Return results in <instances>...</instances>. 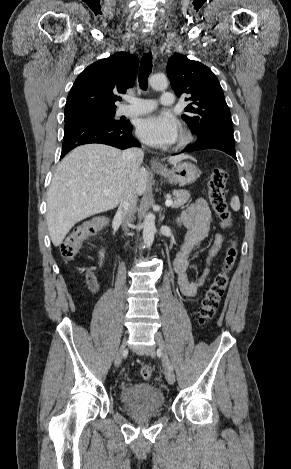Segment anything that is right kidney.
<instances>
[{
  "label": "right kidney",
  "mask_w": 291,
  "mask_h": 469,
  "mask_svg": "<svg viewBox=\"0 0 291 469\" xmlns=\"http://www.w3.org/2000/svg\"><path fill=\"white\" fill-rule=\"evenodd\" d=\"M100 255H101V257H103V256H104V253L100 252Z\"/></svg>",
  "instance_id": "right-kidney-1"
}]
</instances>
